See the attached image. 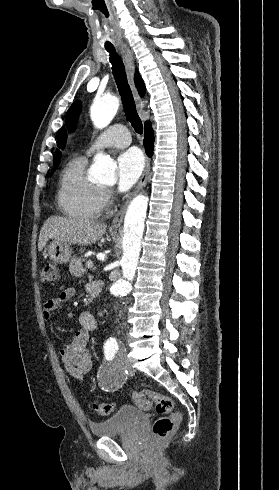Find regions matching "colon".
I'll list each match as a JSON object with an SVG mask.
<instances>
[{
  "mask_svg": "<svg viewBox=\"0 0 279 490\" xmlns=\"http://www.w3.org/2000/svg\"><path fill=\"white\" fill-rule=\"evenodd\" d=\"M56 264L48 262L40 271L39 279L41 282H56ZM132 400L136 406L142 410H150L153 403L156 404V412L159 415L153 425L155 442H172V433L175 430L176 422L182 415L176 409L174 400L169 396H164L153 391L137 392L132 395ZM93 412L98 416H108L114 411V404L109 401H95L92 404Z\"/></svg>",
  "mask_w": 279,
  "mask_h": 490,
  "instance_id": "5ec220e1",
  "label": "colon"
}]
</instances>
